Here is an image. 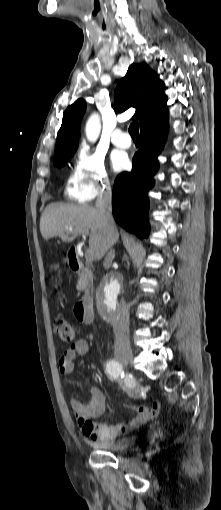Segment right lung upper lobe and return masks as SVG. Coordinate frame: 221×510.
<instances>
[{
  "label": "right lung upper lobe",
  "mask_w": 221,
  "mask_h": 510,
  "mask_svg": "<svg viewBox=\"0 0 221 510\" xmlns=\"http://www.w3.org/2000/svg\"><path fill=\"white\" fill-rule=\"evenodd\" d=\"M163 86L164 83L147 64H132L116 88L115 105L120 111L135 107L133 119L139 120L141 128L162 122L168 118ZM85 109V101L78 99L64 112L54 157L78 147L80 122Z\"/></svg>",
  "instance_id": "1"
}]
</instances>
